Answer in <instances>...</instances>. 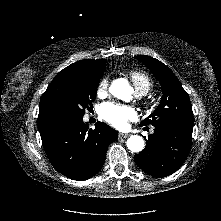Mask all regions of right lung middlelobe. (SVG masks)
<instances>
[{
  "label": "right lung middle lobe",
  "mask_w": 221,
  "mask_h": 221,
  "mask_svg": "<svg viewBox=\"0 0 221 221\" xmlns=\"http://www.w3.org/2000/svg\"><path fill=\"white\" fill-rule=\"evenodd\" d=\"M101 76L65 68L52 80L41 99L64 121L83 117L96 98Z\"/></svg>",
  "instance_id": "right-lung-middle-lobe-1"
}]
</instances>
